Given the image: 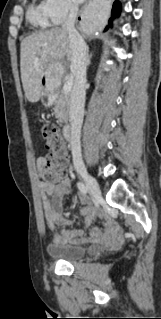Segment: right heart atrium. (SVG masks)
I'll return each instance as SVG.
<instances>
[{
  "instance_id": "1",
  "label": "right heart atrium",
  "mask_w": 161,
  "mask_h": 319,
  "mask_svg": "<svg viewBox=\"0 0 161 319\" xmlns=\"http://www.w3.org/2000/svg\"><path fill=\"white\" fill-rule=\"evenodd\" d=\"M45 5L54 25H59L70 14L76 11L71 0H45Z\"/></svg>"
}]
</instances>
